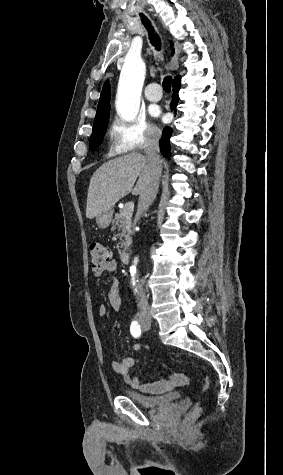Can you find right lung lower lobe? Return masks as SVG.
<instances>
[{
	"instance_id": "right-lung-lower-lobe-1",
	"label": "right lung lower lobe",
	"mask_w": 283,
	"mask_h": 475,
	"mask_svg": "<svg viewBox=\"0 0 283 475\" xmlns=\"http://www.w3.org/2000/svg\"><path fill=\"white\" fill-rule=\"evenodd\" d=\"M180 76H177L175 77V79L173 80V91H174V95L172 96V102H171V108L173 109L174 107L177 106V103H178V96H177V93L179 92V89H180ZM174 111H176V109H174ZM172 134V128L170 127H165L163 129V133H162V138L160 140V149H161V153L164 155V157H170V142H169V138Z\"/></svg>"
}]
</instances>
